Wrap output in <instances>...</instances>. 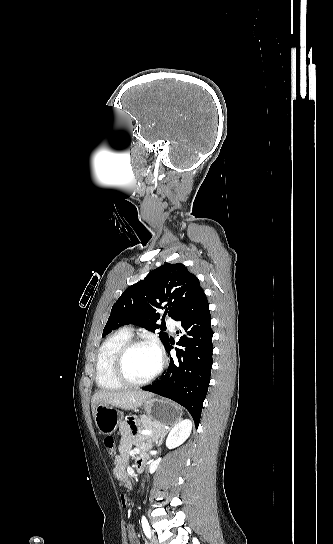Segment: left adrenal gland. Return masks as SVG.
Here are the masks:
<instances>
[{
  "label": "left adrenal gland",
  "mask_w": 333,
  "mask_h": 544,
  "mask_svg": "<svg viewBox=\"0 0 333 544\" xmlns=\"http://www.w3.org/2000/svg\"><path fill=\"white\" fill-rule=\"evenodd\" d=\"M168 431H169V429L164 431V432L156 434L155 439H154V441L156 442V445L160 446L162 444L163 439H164L165 435L168 433Z\"/></svg>",
  "instance_id": "1"
}]
</instances>
